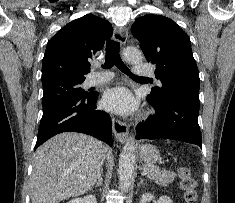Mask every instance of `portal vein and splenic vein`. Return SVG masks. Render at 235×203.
I'll list each match as a JSON object with an SVG mask.
<instances>
[{
  "mask_svg": "<svg viewBox=\"0 0 235 203\" xmlns=\"http://www.w3.org/2000/svg\"><path fill=\"white\" fill-rule=\"evenodd\" d=\"M147 172H148V171L144 169V170H143V172H142L141 174H142V175H146V174H147Z\"/></svg>",
  "mask_w": 235,
  "mask_h": 203,
  "instance_id": "obj_1",
  "label": "portal vein and splenic vein"
}]
</instances>
